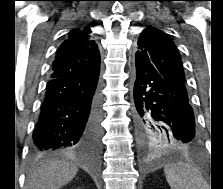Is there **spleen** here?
<instances>
[{
	"label": "spleen",
	"instance_id": "obj_1",
	"mask_svg": "<svg viewBox=\"0 0 223 189\" xmlns=\"http://www.w3.org/2000/svg\"><path fill=\"white\" fill-rule=\"evenodd\" d=\"M164 173L171 189H205L206 183L201 173L193 166L179 162L168 165Z\"/></svg>",
	"mask_w": 223,
	"mask_h": 189
}]
</instances>
